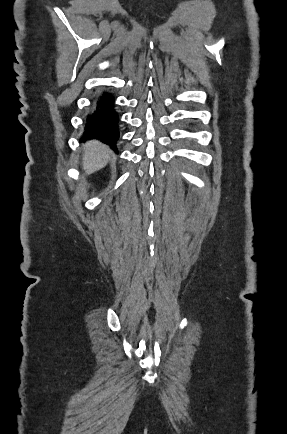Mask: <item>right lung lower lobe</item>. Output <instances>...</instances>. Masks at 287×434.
Returning a JSON list of instances; mask_svg holds the SVG:
<instances>
[{
	"label": "right lung lower lobe",
	"mask_w": 287,
	"mask_h": 434,
	"mask_svg": "<svg viewBox=\"0 0 287 434\" xmlns=\"http://www.w3.org/2000/svg\"><path fill=\"white\" fill-rule=\"evenodd\" d=\"M114 101L109 92H103L95 100L93 111L87 117L83 140L99 139L116 150V142L119 139V116Z\"/></svg>",
	"instance_id": "98d812e1"
}]
</instances>
